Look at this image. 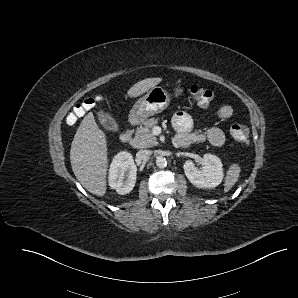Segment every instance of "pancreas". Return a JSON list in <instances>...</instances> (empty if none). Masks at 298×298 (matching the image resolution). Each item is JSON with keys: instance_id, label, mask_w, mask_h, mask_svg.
I'll return each instance as SVG.
<instances>
[{"instance_id": "cf45deb5", "label": "pancreas", "mask_w": 298, "mask_h": 298, "mask_svg": "<svg viewBox=\"0 0 298 298\" xmlns=\"http://www.w3.org/2000/svg\"><path fill=\"white\" fill-rule=\"evenodd\" d=\"M158 124L157 118L146 119L135 131L131 142L135 148H150L158 145L157 137L153 135L152 128Z\"/></svg>"}]
</instances>
